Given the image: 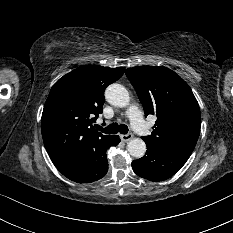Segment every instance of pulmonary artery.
Segmentation results:
<instances>
[{"mask_svg":"<svg viewBox=\"0 0 233 233\" xmlns=\"http://www.w3.org/2000/svg\"><path fill=\"white\" fill-rule=\"evenodd\" d=\"M126 117L130 120L132 128L141 134H145L148 130V126L143 119L139 106L136 103H132L126 109Z\"/></svg>","mask_w":233,"mask_h":233,"instance_id":"e3ab8cb5","label":"pulmonary artery"}]
</instances>
